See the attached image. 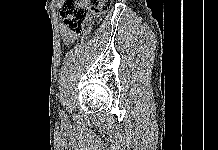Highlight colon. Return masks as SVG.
<instances>
[{
	"instance_id": "1",
	"label": "colon",
	"mask_w": 218,
	"mask_h": 150,
	"mask_svg": "<svg viewBox=\"0 0 218 150\" xmlns=\"http://www.w3.org/2000/svg\"><path fill=\"white\" fill-rule=\"evenodd\" d=\"M111 0H60L59 10L68 29L80 35L90 15L98 17Z\"/></svg>"
}]
</instances>
